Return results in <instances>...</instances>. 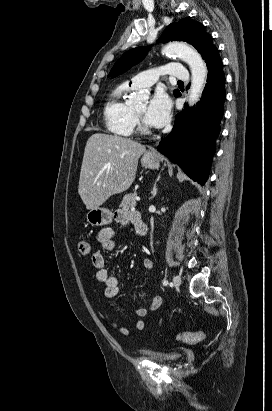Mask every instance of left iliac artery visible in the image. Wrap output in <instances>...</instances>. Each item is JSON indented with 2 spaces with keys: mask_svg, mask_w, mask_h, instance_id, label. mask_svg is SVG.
<instances>
[{
  "mask_svg": "<svg viewBox=\"0 0 272 411\" xmlns=\"http://www.w3.org/2000/svg\"><path fill=\"white\" fill-rule=\"evenodd\" d=\"M163 285H164V286L168 285V281H167V280H164V281H163Z\"/></svg>",
  "mask_w": 272,
  "mask_h": 411,
  "instance_id": "obj_1",
  "label": "left iliac artery"
}]
</instances>
